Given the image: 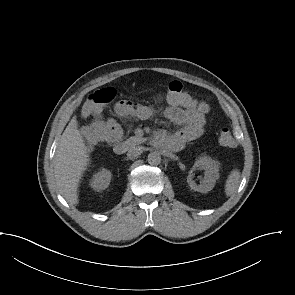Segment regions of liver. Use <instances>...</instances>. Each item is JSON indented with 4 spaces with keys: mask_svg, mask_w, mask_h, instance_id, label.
Instances as JSON below:
<instances>
[{
    "mask_svg": "<svg viewBox=\"0 0 295 295\" xmlns=\"http://www.w3.org/2000/svg\"><path fill=\"white\" fill-rule=\"evenodd\" d=\"M89 152L78 130L76 117L64 130L54 159V173L59 192L72 205L79 202L78 187L90 162Z\"/></svg>",
    "mask_w": 295,
    "mask_h": 295,
    "instance_id": "1",
    "label": "liver"
}]
</instances>
